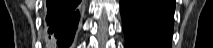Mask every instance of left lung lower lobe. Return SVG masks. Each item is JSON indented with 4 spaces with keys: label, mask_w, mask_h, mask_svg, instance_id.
<instances>
[{
    "label": "left lung lower lobe",
    "mask_w": 213,
    "mask_h": 48,
    "mask_svg": "<svg viewBox=\"0 0 213 48\" xmlns=\"http://www.w3.org/2000/svg\"><path fill=\"white\" fill-rule=\"evenodd\" d=\"M174 0H120L125 48H172Z\"/></svg>",
    "instance_id": "0a47b994"
}]
</instances>
